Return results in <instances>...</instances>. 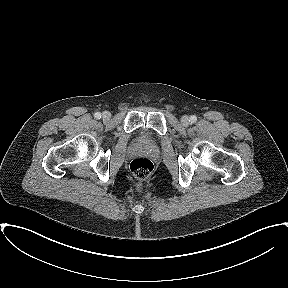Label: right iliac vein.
Listing matches in <instances>:
<instances>
[{"instance_id": "obj_1", "label": "right iliac vein", "mask_w": 288, "mask_h": 288, "mask_svg": "<svg viewBox=\"0 0 288 288\" xmlns=\"http://www.w3.org/2000/svg\"><path fill=\"white\" fill-rule=\"evenodd\" d=\"M102 118L103 120L108 121L111 118V113L108 111L103 112Z\"/></svg>"}]
</instances>
